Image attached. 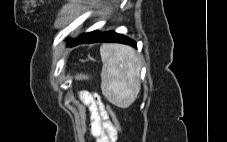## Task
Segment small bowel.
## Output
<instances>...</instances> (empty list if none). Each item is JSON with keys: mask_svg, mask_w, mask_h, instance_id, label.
Listing matches in <instances>:
<instances>
[{"mask_svg": "<svg viewBox=\"0 0 227 142\" xmlns=\"http://www.w3.org/2000/svg\"><path fill=\"white\" fill-rule=\"evenodd\" d=\"M79 98L89 108L91 115L90 130L95 142H116L117 137L113 132L112 121L99 95L81 91Z\"/></svg>", "mask_w": 227, "mask_h": 142, "instance_id": "c3829d8e", "label": "small bowel"}]
</instances>
